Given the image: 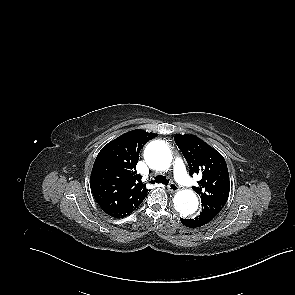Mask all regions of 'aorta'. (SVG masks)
<instances>
[{
    "label": "aorta",
    "mask_w": 295,
    "mask_h": 295,
    "mask_svg": "<svg viewBox=\"0 0 295 295\" xmlns=\"http://www.w3.org/2000/svg\"><path fill=\"white\" fill-rule=\"evenodd\" d=\"M145 158L156 170H166L172 162V154L167 144L161 140L150 142L145 149ZM174 208L183 218H190L198 210L199 201L192 190H181L174 197Z\"/></svg>",
    "instance_id": "obj_1"
}]
</instances>
